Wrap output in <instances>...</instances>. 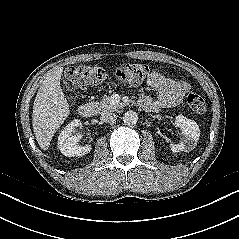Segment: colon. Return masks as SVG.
<instances>
[{
    "instance_id": "obj_1",
    "label": "colon",
    "mask_w": 239,
    "mask_h": 239,
    "mask_svg": "<svg viewBox=\"0 0 239 239\" xmlns=\"http://www.w3.org/2000/svg\"><path fill=\"white\" fill-rule=\"evenodd\" d=\"M148 75V67L141 63H127L119 66L113 73V77L124 85L138 86L142 84ZM111 75L101 67L78 65L69 67L64 74V82L75 89L100 85L109 80ZM187 104L196 114H202L206 109V103L202 95L191 92L187 96Z\"/></svg>"
}]
</instances>
